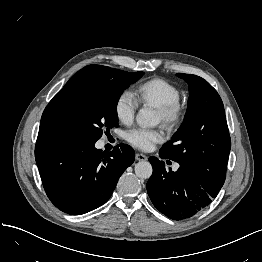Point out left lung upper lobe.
<instances>
[{
  "label": "left lung upper lobe",
  "mask_w": 262,
  "mask_h": 262,
  "mask_svg": "<svg viewBox=\"0 0 262 262\" xmlns=\"http://www.w3.org/2000/svg\"><path fill=\"white\" fill-rule=\"evenodd\" d=\"M177 76L189 85L188 108L181 127L160 152L215 184L226 175L231 148L223 102L203 78L184 73Z\"/></svg>",
  "instance_id": "1"
}]
</instances>
